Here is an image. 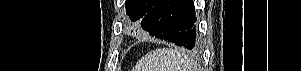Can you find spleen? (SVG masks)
Here are the masks:
<instances>
[{"instance_id": "1", "label": "spleen", "mask_w": 301, "mask_h": 71, "mask_svg": "<svg viewBox=\"0 0 301 71\" xmlns=\"http://www.w3.org/2000/svg\"><path fill=\"white\" fill-rule=\"evenodd\" d=\"M195 63L186 54L171 48H158L147 53L136 71H194Z\"/></svg>"}]
</instances>
